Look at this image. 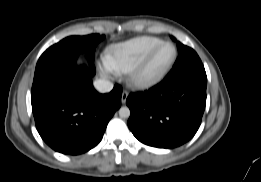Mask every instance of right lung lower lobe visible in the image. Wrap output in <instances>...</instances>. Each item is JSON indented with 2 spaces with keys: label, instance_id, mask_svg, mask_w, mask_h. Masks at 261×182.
Returning <instances> with one entry per match:
<instances>
[{
  "label": "right lung lower lobe",
  "instance_id": "1",
  "mask_svg": "<svg viewBox=\"0 0 261 182\" xmlns=\"http://www.w3.org/2000/svg\"><path fill=\"white\" fill-rule=\"evenodd\" d=\"M78 54H62L36 65L31 103L36 128L55 151L77 155L95 147L120 108L122 88L108 94L93 88L90 68L77 67Z\"/></svg>",
  "mask_w": 261,
  "mask_h": 182
}]
</instances>
